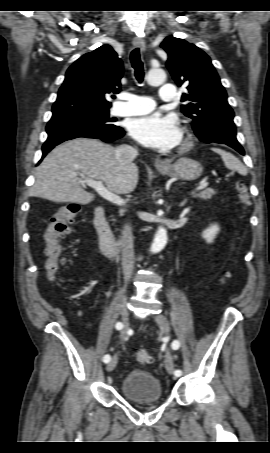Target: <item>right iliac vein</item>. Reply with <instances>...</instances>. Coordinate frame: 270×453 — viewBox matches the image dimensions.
I'll use <instances>...</instances> for the list:
<instances>
[{
  "label": "right iliac vein",
  "mask_w": 270,
  "mask_h": 453,
  "mask_svg": "<svg viewBox=\"0 0 270 453\" xmlns=\"http://www.w3.org/2000/svg\"><path fill=\"white\" fill-rule=\"evenodd\" d=\"M120 317L121 321L124 325L123 330L121 331L120 337L123 339L126 336L127 329L129 327V319H128V309L126 306V298H124L121 309H120ZM117 365V356H114L111 361L107 364L106 370L107 372H111L115 369Z\"/></svg>",
  "instance_id": "right-iliac-vein-1"
}]
</instances>
